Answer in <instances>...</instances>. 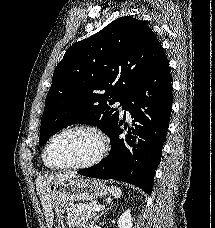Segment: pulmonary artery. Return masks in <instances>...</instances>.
I'll return each mask as SVG.
<instances>
[{"mask_svg": "<svg viewBox=\"0 0 215 228\" xmlns=\"http://www.w3.org/2000/svg\"><path fill=\"white\" fill-rule=\"evenodd\" d=\"M116 107H118V109H119V111L121 113H124V112L128 113V109H129V106L128 105L121 106V103L120 102H117L116 103Z\"/></svg>", "mask_w": 215, "mask_h": 228, "instance_id": "pulmonary-artery-1", "label": "pulmonary artery"}]
</instances>
